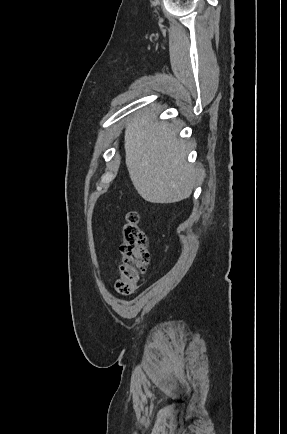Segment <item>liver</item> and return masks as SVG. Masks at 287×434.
Listing matches in <instances>:
<instances>
[{"label":"liver","mask_w":287,"mask_h":434,"mask_svg":"<svg viewBox=\"0 0 287 434\" xmlns=\"http://www.w3.org/2000/svg\"><path fill=\"white\" fill-rule=\"evenodd\" d=\"M156 117L152 109L137 114L126 124V165L144 200L175 203L190 197L197 173L187 162L186 145L178 138V131Z\"/></svg>","instance_id":"obj_1"}]
</instances>
